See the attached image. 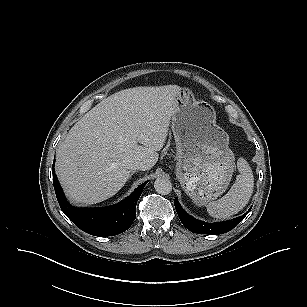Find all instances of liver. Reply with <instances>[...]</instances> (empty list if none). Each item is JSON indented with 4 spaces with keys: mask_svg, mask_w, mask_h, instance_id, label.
Wrapping results in <instances>:
<instances>
[{
    "mask_svg": "<svg viewBox=\"0 0 307 307\" xmlns=\"http://www.w3.org/2000/svg\"><path fill=\"white\" fill-rule=\"evenodd\" d=\"M180 91L177 85L121 90L70 129L56 153V174L72 203L115 195L130 178V161L143 162V171L157 163Z\"/></svg>",
    "mask_w": 307,
    "mask_h": 307,
    "instance_id": "1",
    "label": "liver"
}]
</instances>
